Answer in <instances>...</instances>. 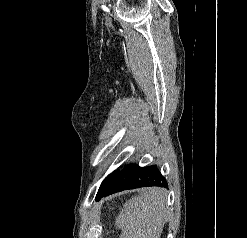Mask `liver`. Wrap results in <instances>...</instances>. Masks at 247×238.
Masks as SVG:
<instances>
[{
    "label": "liver",
    "mask_w": 247,
    "mask_h": 238,
    "mask_svg": "<svg viewBox=\"0 0 247 238\" xmlns=\"http://www.w3.org/2000/svg\"><path fill=\"white\" fill-rule=\"evenodd\" d=\"M166 222V191L157 187L142 189L116 218V226L122 230L119 238H160Z\"/></svg>",
    "instance_id": "6515ba94"
}]
</instances>
